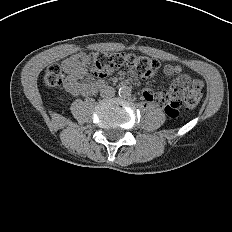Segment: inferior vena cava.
<instances>
[{"instance_id": "obj_1", "label": "inferior vena cava", "mask_w": 232, "mask_h": 232, "mask_svg": "<svg viewBox=\"0 0 232 232\" xmlns=\"http://www.w3.org/2000/svg\"><path fill=\"white\" fill-rule=\"evenodd\" d=\"M115 95V90L111 86H105L100 90V96L103 98H111Z\"/></svg>"}]
</instances>
